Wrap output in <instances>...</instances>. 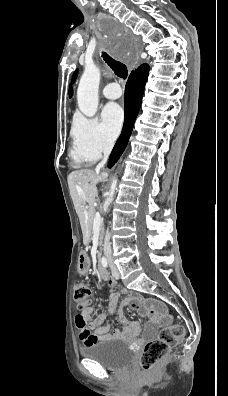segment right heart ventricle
<instances>
[{"label":"right heart ventricle","instance_id":"right-heart-ventricle-1","mask_svg":"<svg viewBox=\"0 0 228 396\" xmlns=\"http://www.w3.org/2000/svg\"><path fill=\"white\" fill-rule=\"evenodd\" d=\"M85 162L91 163V162H93V161H88V160H85Z\"/></svg>","mask_w":228,"mask_h":396}]
</instances>
